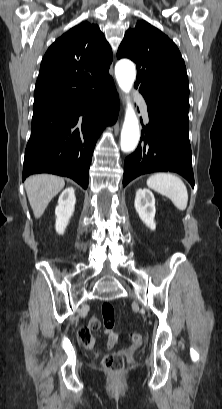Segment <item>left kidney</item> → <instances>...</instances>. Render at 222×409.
<instances>
[{"mask_svg":"<svg viewBox=\"0 0 222 409\" xmlns=\"http://www.w3.org/2000/svg\"><path fill=\"white\" fill-rule=\"evenodd\" d=\"M134 206L140 219L151 230H155V198L149 189H138L135 196Z\"/></svg>","mask_w":222,"mask_h":409,"instance_id":"5707ae66","label":"left kidney"}]
</instances>
